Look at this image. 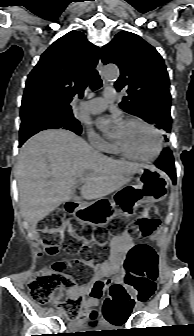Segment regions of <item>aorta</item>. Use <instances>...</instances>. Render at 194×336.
I'll list each match as a JSON object with an SVG mask.
<instances>
[{
  "mask_svg": "<svg viewBox=\"0 0 194 336\" xmlns=\"http://www.w3.org/2000/svg\"><path fill=\"white\" fill-rule=\"evenodd\" d=\"M102 74L105 81H114L119 76V69L115 65H106L102 70Z\"/></svg>",
  "mask_w": 194,
  "mask_h": 336,
  "instance_id": "obj_1",
  "label": "aorta"
}]
</instances>
